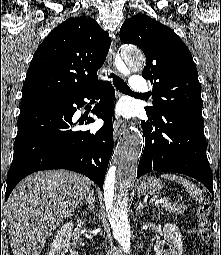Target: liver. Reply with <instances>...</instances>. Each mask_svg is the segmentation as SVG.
Wrapping results in <instances>:
<instances>
[{"label": "liver", "instance_id": "6515ba94", "mask_svg": "<svg viewBox=\"0 0 221 255\" xmlns=\"http://www.w3.org/2000/svg\"><path fill=\"white\" fill-rule=\"evenodd\" d=\"M90 186L89 178L66 170L39 171L22 180L3 206L13 255H40Z\"/></svg>", "mask_w": 221, "mask_h": 255}]
</instances>
